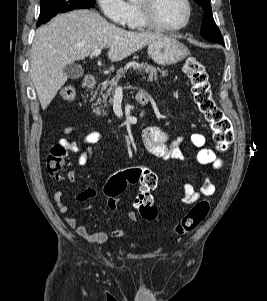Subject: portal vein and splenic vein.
Wrapping results in <instances>:
<instances>
[{
    "label": "portal vein and splenic vein",
    "instance_id": "1",
    "mask_svg": "<svg viewBox=\"0 0 267 301\" xmlns=\"http://www.w3.org/2000/svg\"><path fill=\"white\" fill-rule=\"evenodd\" d=\"M101 50H102V49H96V50H94V51L92 52L91 55H92L93 57H96V56H98V55L101 54ZM120 89H122V88H121L120 86H118V87H117V90H120Z\"/></svg>",
    "mask_w": 267,
    "mask_h": 301
}]
</instances>
